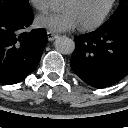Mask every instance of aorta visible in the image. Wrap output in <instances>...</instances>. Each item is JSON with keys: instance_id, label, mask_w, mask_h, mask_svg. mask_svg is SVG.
Returning a JSON list of instances; mask_svg holds the SVG:
<instances>
[{"instance_id": "obj_1", "label": "aorta", "mask_w": 128, "mask_h": 128, "mask_svg": "<svg viewBox=\"0 0 128 128\" xmlns=\"http://www.w3.org/2000/svg\"><path fill=\"white\" fill-rule=\"evenodd\" d=\"M55 49L65 55H69L73 53L75 49V43L71 38H68L66 36L59 37L55 40Z\"/></svg>"}]
</instances>
